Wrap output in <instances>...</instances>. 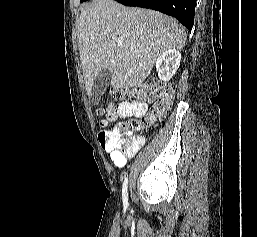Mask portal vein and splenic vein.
Masks as SVG:
<instances>
[{
  "mask_svg": "<svg viewBox=\"0 0 257 237\" xmlns=\"http://www.w3.org/2000/svg\"><path fill=\"white\" fill-rule=\"evenodd\" d=\"M117 44H118V46H120V47L123 46V42H122V41H118Z\"/></svg>",
  "mask_w": 257,
  "mask_h": 237,
  "instance_id": "obj_1",
  "label": "portal vein and splenic vein"
}]
</instances>
